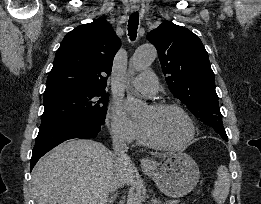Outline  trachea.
Returning <instances> with one entry per match:
<instances>
[{
    "label": "trachea",
    "mask_w": 261,
    "mask_h": 204,
    "mask_svg": "<svg viewBox=\"0 0 261 204\" xmlns=\"http://www.w3.org/2000/svg\"><path fill=\"white\" fill-rule=\"evenodd\" d=\"M139 24V13L135 12L130 15L128 22V32L131 41H134L137 37V29Z\"/></svg>",
    "instance_id": "obj_1"
}]
</instances>
